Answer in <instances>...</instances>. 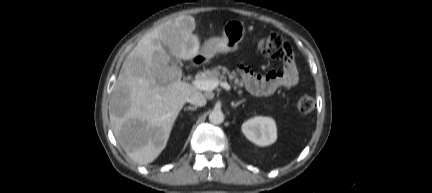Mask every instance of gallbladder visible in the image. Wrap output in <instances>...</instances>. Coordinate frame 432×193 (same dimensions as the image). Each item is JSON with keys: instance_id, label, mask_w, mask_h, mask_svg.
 Masks as SVG:
<instances>
[{"instance_id": "1", "label": "gallbladder", "mask_w": 432, "mask_h": 193, "mask_svg": "<svg viewBox=\"0 0 432 193\" xmlns=\"http://www.w3.org/2000/svg\"><path fill=\"white\" fill-rule=\"evenodd\" d=\"M165 49H166L167 53H169V49L166 48V47H165ZM169 55H170V53H169ZM169 63H170L171 65H178V64L180 63V60H179L178 58H176V57L170 55Z\"/></svg>"}]
</instances>
